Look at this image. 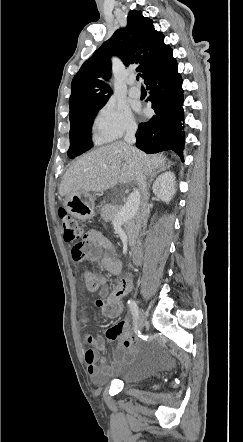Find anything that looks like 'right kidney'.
<instances>
[{
	"label": "right kidney",
	"instance_id": "1",
	"mask_svg": "<svg viewBox=\"0 0 243 442\" xmlns=\"http://www.w3.org/2000/svg\"><path fill=\"white\" fill-rule=\"evenodd\" d=\"M174 180L173 172L163 173L156 179L153 185V193L162 201L169 203L175 194Z\"/></svg>",
	"mask_w": 243,
	"mask_h": 442
}]
</instances>
